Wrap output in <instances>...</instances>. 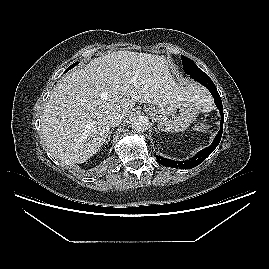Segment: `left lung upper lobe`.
I'll list each match as a JSON object with an SVG mask.
<instances>
[{"mask_svg": "<svg viewBox=\"0 0 269 269\" xmlns=\"http://www.w3.org/2000/svg\"><path fill=\"white\" fill-rule=\"evenodd\" d=\"M184 72L188 75H192L197 72H202L201 69H199L196 64L190 60L189 58L185 56H181Z\"/></svg>", "mask_w": 269, "mask_h": 269, "instance_id": "obj_1", "label": "left lung upper lobe"}]
</instances>
